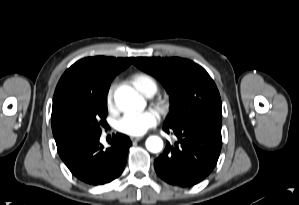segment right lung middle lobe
<instances>
[{
  "mask_svg": "<svg viewBox=\"0 0 299 205\" xmlns=\"http://www.w3.org/2000/svg\"><path fill=\"white\" fill-rule=\"evenodd\" d=\"M108 82L101 88L84 90L64 99L52 113V131L58 151L85 138L101 133L107 116Z\"/></svg>",
  "mask_w": 299,
  "mask_h": 205,
  "instance_id": "dd1d6c3e",
  "label": "right lung middle lobe"
}]
</instances>
